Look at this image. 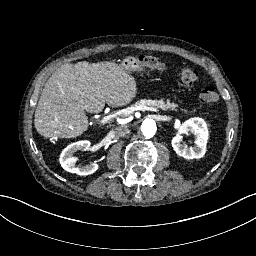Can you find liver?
Masks as SVG:
<instances>
[{
    "mask_svg": "<svg viewBox=\"0 0 256 256\" xmlns=\"http://www.w3.org/2000/svg\"><path fill=\"white\" fill-rule=\"evenodd\" d=\"M136 82L114 62L86 61L60 66L47 80L35 110L34 125L46 138H75L88 129L86 112L127 105Z\"/></svg>",
    "mask_w": 256,
    "mask_h": 256,
    "instance_id": "1",
    "label": "liver"
}]
</instances>
